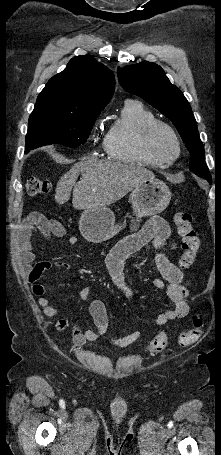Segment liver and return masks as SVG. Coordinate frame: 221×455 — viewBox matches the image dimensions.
<instances>
[{
	"mask_svg": "<svg viewBox=\"0 0 221 455\" xmlns=\"http://www.w3.org/2000/svg\"><path fill=\"white\" fill-rule=\"evenodd\" d=\"M80 173L82 178L76 183ZM154 178L153 172L140 166L89 159L76 163L59 179L55 201L60 205L66 203L73 188L72 205L75 209L107 206L146 179Z\"/></svg>",
	"mask_w": 221,
	"mask_h": 455,
	"instance_id": "liver-1",
	"label": "liver"
}]
</instances>
